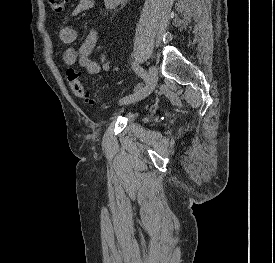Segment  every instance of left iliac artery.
<instances>
[{
  "label": "left iliac artery",
  "mask_w": 275,
  "mask_h": 263,
  "mask_svg": "<svg viewBox=\"0 0 275 263\" xmlns=\"http://www.w3.org/2000/svg\"><path fill=\"white\" fill-rule=\"evenodd\" d=\"M132 69L145 81L147 80V72L143 68H141L136 62H132Z\"/></svg>",
  "instance_id": "1"
}]
</instances>
